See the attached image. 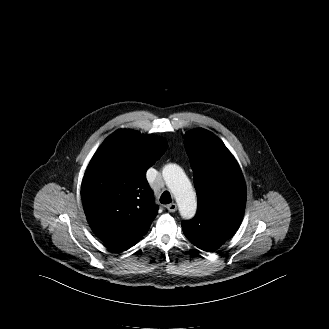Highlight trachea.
<instances>
[{
	"label": "trachea",
	"instance_id": "trachea-1",
	"mask_svg": "<svg viewBox=\"0 0 329 329\" xmlns=\"http://www.w3.org/2000/svg\"><path fill=\"white\" fill-rule=\"evenodd\" d=\"M160 202L162 204H169L172 202V198H171V195L168 191H165L161 197H160Z\"/></svg>",
	"mask_w": 329,
	"mask_h": 329
}]
</instances>
